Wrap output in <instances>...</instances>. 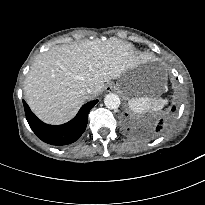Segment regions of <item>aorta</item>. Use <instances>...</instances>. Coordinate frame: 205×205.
Listing matches in <instances>:
<instances>
[{"label":"aorta","mask_w":205,"mask_h":205,"mask_svg":"<svg viewBox=\"0 0 205 205\" xmlns=\"http://www.w3.org/2000/svg\"><path fill=\"white\" fill-rule=\"evenodd\" d=\"M104 104L108 109H117L120 106V98L114 93H109L104 98Z\"/></svg>","instance_id":"1"}]
</instances>
